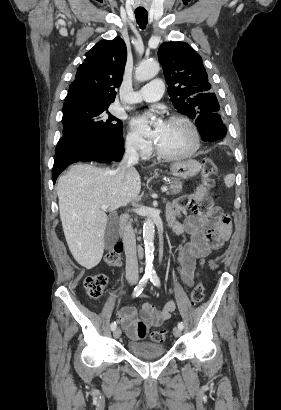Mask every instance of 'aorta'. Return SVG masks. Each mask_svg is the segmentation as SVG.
I'll use <instances>...</instances> for the list:
<instances>
[{
	"mask_svg": "<svg viewBox=\"0 0 281 410\" xmlns=\"http://www.w3.org/2000/svg\"><path fill=\"white\" fill-rule=\"evenodd\" d=\"M159 64L156 61L142 62L135 70V78L138 81H147L155 77L159 72ZM155 227L151 218H147L143 225V240L145 246L147 274L153 273Z\"/></svg>",
	"mask_w": 281,
	"mask_h": 410,
	"instance_id": "aorta-1",
	"label": "aorta"
}]
</instances>
